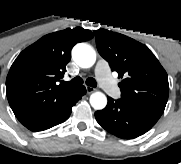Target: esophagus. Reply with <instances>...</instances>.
<instances>
[{"mask_svg": "<svg viewBox=\"0 0 181 164\" xmlns=\"http://www.w3.org/2000/svg\"><path fill=\"white\" fill-rule=\"evenodd\" d=\"M95 89L90 87V86H86V92L87 94H91Z\"/></svg>", "mask_w": 181, "mask_h": 164, "instance_id": "1", "label": "esophagus"}]
</instances>
